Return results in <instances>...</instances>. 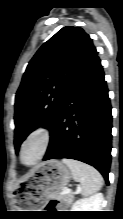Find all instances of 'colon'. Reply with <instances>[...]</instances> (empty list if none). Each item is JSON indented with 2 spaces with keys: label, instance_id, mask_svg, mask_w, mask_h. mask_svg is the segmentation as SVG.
<instances>
[{
  "label": "colon",
  "instance_id": "5ec220e1",
  "mask_svg": "<svg viewBox=\"0 0 123 219\" xmlns=\"http://www.w3.org/2000/svg\"><path fill=\"white\" fill-rule=\"evenodd\" d=\"M59 206V202L58 201H56V200H52L51 202H50V204H49V207L50 208H56V207H58Z\"/></svg>",
  "mask_w": 123,
  "mask_h": 219
}]
</instances>
